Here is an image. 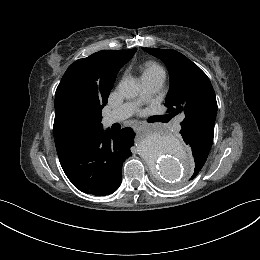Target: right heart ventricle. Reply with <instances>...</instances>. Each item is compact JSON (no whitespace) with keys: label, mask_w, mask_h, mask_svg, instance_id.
Masks as SVG:
<instances>
[{"label":"right heart ventricle","mask_w":260,"mask_h":260,"mask_svg":"<svg viewBox=\"0 0 260 260\" xmlns=\"http://www.w3.org/2000/svg\"><path fill=\"white\" fill-rule=\"evenodd\" d=\"M157 73H163L162 68L155 62H147L142 69V78L144 79Z\"/></svg>","instance_id":"right-heart-ventricle-1"}]
</instances>
